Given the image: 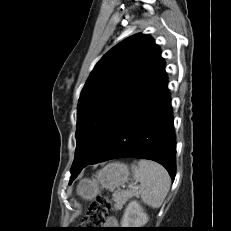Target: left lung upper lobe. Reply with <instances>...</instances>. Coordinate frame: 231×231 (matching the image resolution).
I'll list each match as a JSON object with an SVG mask.
<instances>
[{
    "instance_id": "obj_1",
    "label": "left lung upper lobe",
    "mask_w": 231,
    "mask_h": 231,
    "mask_svg": "<svg viewBox=\"0 0 231 231\" xmlns=\"http://www.w3.org/2000/svg\"><path fill=\"white\" fill-rule=\"evenodd\" d=\"M160 57L154 40L139 33L114 46L96 64L78 102L77 145L71 171L86 163L113 118Z\"/></svg>"
}]
</instances>
